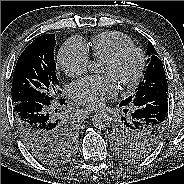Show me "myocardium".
I'll use <instances>...</instances> for the list:
<instances>
[{"instance_id": "1", "label": "myocardium", "mask_w": 184, "mask_h": 184, "mask_svg": "<svg viewBox=\"0 0 184 184\" xmlns=\"http://www.w3.org/2000/svg\"><path fill=\"white\" fill-rule=\"evenodd\" d=\"M136 55L138 64L133 74L128 78H121L119 84L125 88H132L140 81L146 66V55L145 53L136 46H128L118 50L113 55L103 59L104 62L116 67L119 66L124 59L130 55Z\"/></svg>"}]
</instances>
